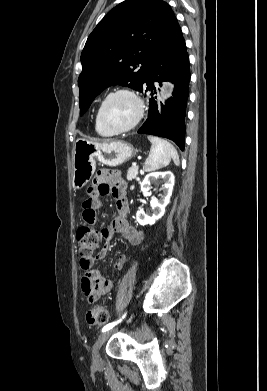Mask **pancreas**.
<instances>
[{
  "label": "pancreas",
  "instance_id": "pancreas-1",
  "mask_svg": "<svg viewBox=\"0 0 267 391\" xmlns=\"http://www.w3.org/2000/svg\"><path fill=\"white\" fill-rule=\"evenodd\" d=\"M138 170H139L138 166L130 167L127 171V180L131 181L133 179H136L138 175Z\"/></svg>",
  "mask_w": 267,
  "mask_h": 391
}]
</instances>
